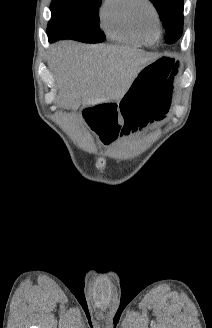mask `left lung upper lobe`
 <instances>
[{"label":"left lung upper lobe","instance_id":"left-lung-upper-lobe-1","mask_svg":"<svg viewBox=\"0 0 212 328\" xmlns=\"http://www.w3.org/2000/svg\"><path fill=\"white\" fill-rule=\"evenodd\" d=\"M157 9L166 31V43L176 42L183 30V0H150Z\"/></svg>","mask_w":212,"mask_h":328}]
</instances>
